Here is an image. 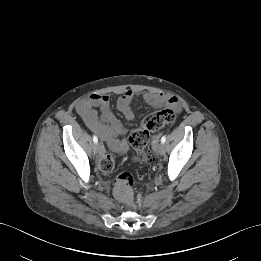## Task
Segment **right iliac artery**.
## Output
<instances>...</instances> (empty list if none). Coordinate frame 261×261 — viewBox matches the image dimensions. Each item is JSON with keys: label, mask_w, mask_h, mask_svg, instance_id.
<instances>
[{"label": "right iliac artery", "mask_w": 261, "mask_h": 261, "mask_svg": "<svg viewBox=\"0 0 261 261\" xmlns=\"http://www.w3.org/2000/svg\"><path fill=\"white\" fill-rule=\"evenodd\" d=\"M93 141H94V143H97L98 142V138H97V136H93Z\"/></svg>", "instance_id": "obj_1"}]
</instances>
